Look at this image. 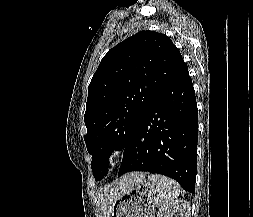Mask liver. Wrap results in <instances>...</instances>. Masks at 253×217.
I'll return each instance as SVG.
<instances>
[{"label":"liver","mask_w":253,"mask_h":217,"mask_svg":"<svg viewBox=\"0 0 253 217\" xmlns=\"http://www.w3.org/2000/svg\"><path fill=\"white\" fill-rule=\"evenodd\" d=\"M145 177L146 173L132 172L101 189L97 197L100 217H109L113 202Z\"/></svg>","instance_id":"liver-1"}]
</instances>
